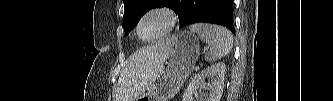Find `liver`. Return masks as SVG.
Masks as SVG:
<instances>
[{"mask_svg":"<svg viewBox=\"0 0 333 101\" xmlns=\"http://www.w3.org/2000/svg\"><path fill=\"white\" fill-rule=\"evenodd\" d=\"M168 52L165 41L136 51L119 77L116 101H135L157 77Z\"/></svg>","mask_w":333,"mask_h":101,"instance_id":"liver-1","label":"liver"}]
</instances>
